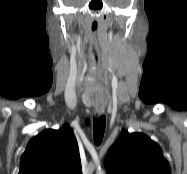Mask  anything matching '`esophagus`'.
I'll return each instance as SVG.
<instances>
[{
	"label": "esophagus",
	"instance_id": "34e87169",
	"mask_svg": "<svg viewBox=\"0 0 187 174\" xmlns=\"http://www.w3.org/2000/svg\"><path fill=\"white\" fill-rule=\"evenodd\" d=\"M96 113L101 116L104 114V109L103 108H96Z\"/></svg>",
	"mask_w": 187,
	"mask_h": 174
}]
</instances>
